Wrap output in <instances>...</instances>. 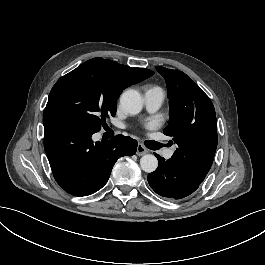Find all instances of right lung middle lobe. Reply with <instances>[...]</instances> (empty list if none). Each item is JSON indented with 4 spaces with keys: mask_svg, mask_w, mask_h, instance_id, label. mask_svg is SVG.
<instances>
[{
    "mask_svg": "<svg viewBox=\"0 0 265 265\" xmlns=\"http://www.w3.org/2000/svg\"><path fill=\"white\" fill-rule=\"evenodd\" d=\"M123 89L100 60L90 59L53 86L43 120L61 119L96 133L115 115Z\"/></svg>",
    "mask_w": 265,
    "mask_h": 265,
    "instance_id": "dd1d6c3e",
    "label": "right lung middle lobe"
}]
</instances>
